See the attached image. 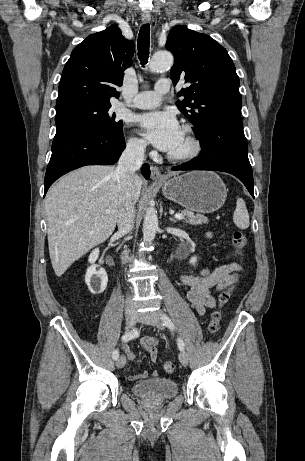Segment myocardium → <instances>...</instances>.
I'll use <instances>...</instances> for the list:
<instances>
[{
	"instance_id": "1",
	"label": "myocardium",
	"mask_w": 305,
	"mask_h": 461,
	"mask_svg": "<svg viewBox=\"0 0 305 461\" xmlns=\"http://www.w3.org/2000/svg\"><path fill=\"white\" fill-rule=\"evenodd\" d=\"M182 131L186 134V136L188 138V141L190 143V148H189L188 151H186L185 153H182V154L168 153L167 158L170 161H173V162L190 161V160L196 158L200 154V152L202 150V143H201L200 139L197 137V135L195 134L194 130L192 129V127L190 125H184L182 127Z\"/></svg>"
}]
</instances>
